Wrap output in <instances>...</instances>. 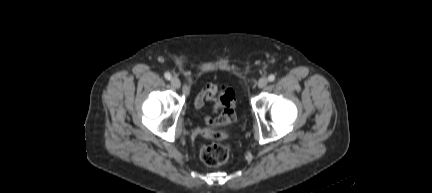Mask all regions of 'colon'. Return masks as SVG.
<instances>
[{
	"mask_svg": "<svg viewBox=\"0 0 432 193\" xmlns=\"http://www.w3.org/2000/svg\"><path fill=\"white\" fill-rule=\"evenodd\" d=\"M219 100L228 108L235 107V93L232 89L225 88L221 91ZM230 156V146L225 142H213L204 146L201 150V159L208 166H219L227 162Z\"/></svg>",
	"mask_w": 432,
	"mask_h": 193,
	"instance_id": "colon-1",
	"label": "colon"
}]
</instances>
